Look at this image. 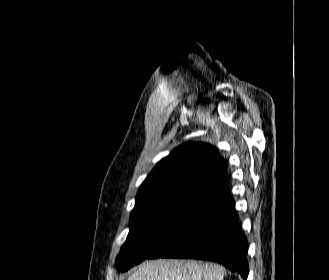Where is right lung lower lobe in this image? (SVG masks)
<instances>
[{"mask_svg":"<svg viewBox=\"0 0 329 280\" xmlns=\"http://www.w3.org/2000/svg\"><path fill=\"white\" fill-rule=\"evenodd\" d=\"M235 203L224 185L148 259L192 258L215 261L247 279V239Z\"/></svg>","mask_w":329,"mask_h":280,"instance_id":"right-lung-lower-lobe-1","label":"right lung lower lobe"}]
</instances>
